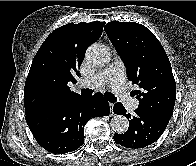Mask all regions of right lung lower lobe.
<instances>
[{
  "label": "right lung lower lobe",
  "instance_id": "1",
  "mask_svg": "<svg viewBox=\"0 0 196 166\" xmlns=\"http://www.w3.org/2000/svg\"><path fill=\"white\" fill-rule=\"evenodd\" d=\"M109 112L108 102L96 93L26 115L25 119L40 146L51 153L64 154L83 145L84 125L89 119L109 115Z\"/></svg>",
  "mask_w": 196,
  "mask_h": 166
}]
</instances>
